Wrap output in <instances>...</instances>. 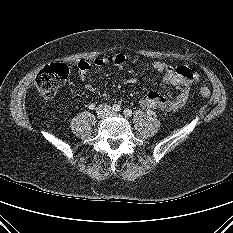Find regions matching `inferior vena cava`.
<instances>
[{
  "label": "inferior vena cava",
  "mask_w": 233,
  "mask_h": 233,
  "mask_svg": "<svg viewBox=\"0 0 233 233\" xmlns=\"http://www.w3.org/2000/svg\"><path fill=\"white\" fill-rule=\"evenodd\" d=\"M101 108H102V109H108L109 106H107V105H101V106L99 107V111L101 110ZM100 112H101V111H100Z\"/></svg>",
  "instance_id": "1"
}]
</instances>
